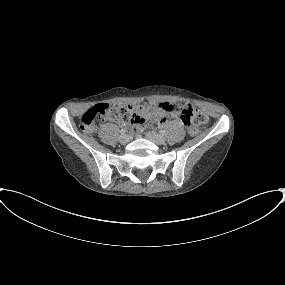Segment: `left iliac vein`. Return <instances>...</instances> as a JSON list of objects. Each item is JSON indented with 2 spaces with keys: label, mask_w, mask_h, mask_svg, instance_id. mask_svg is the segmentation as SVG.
Here are the masks:
<instances>
[{
  "label": "left iliac vein",
  "mask_w": 285,
  "mask_h": 285,
  "mask_svg": "<svg viewBox=\"0 0 285 285\" xmlns=\"http://www.w3.org/2000/svg\"><path fill=\"white\" fill-rule=\"evenodd\" d=\"M146 137L157 145H162L166 141L162 135L156 134L154 132H147Z\"/></svg>",
  "instance_id": "4c4485c4"
}]
</instances>
